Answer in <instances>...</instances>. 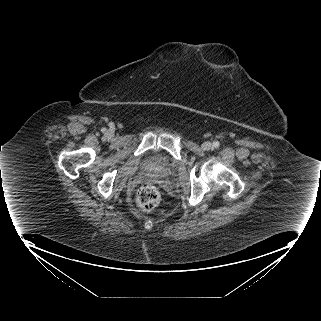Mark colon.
<instances>
[{"label": "colon", "instance_id": "1", "mask_svg": "<svg viewBox=\"0 0 321 321\" xmlns=\"http://www.w3.org/2000/svg\"><path fill=\"white\" fill-rule=\"evenodd\" d=\"M138 206L145 211H153L160 203V192L153 184H143L136 194Z\"/></svg>", "mask_w": 321, "mask_h": 321}]
</instances>
